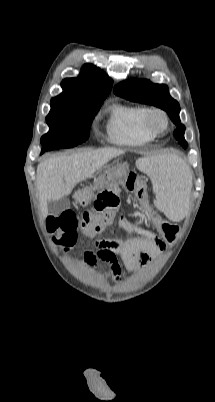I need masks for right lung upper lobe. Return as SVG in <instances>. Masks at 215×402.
Here are the masks:
<instances>
[{"label": "right lung upper lobe", "instance_id": "cb5924a9", "mask_svg": "<svg viewBox=\"0 0 215 402\" xmlns=\"http://www.w3.org/2000/svg\"><path fill=\"white\" fill-rule=\"evenodd\" d=\"M112 79L92 64H85L76 78L64 79L63 93L52 100H95L107 97L112 88Z\"/></svg>", "mask_w": 215, "mask_h": 402}]
</instances>
